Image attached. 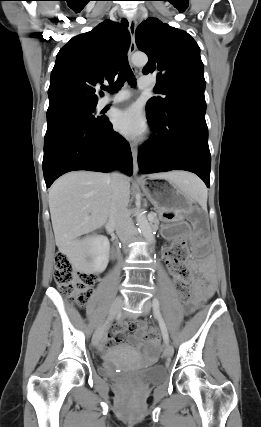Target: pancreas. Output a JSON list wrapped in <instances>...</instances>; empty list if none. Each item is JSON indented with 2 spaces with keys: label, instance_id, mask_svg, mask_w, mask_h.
<instances>
[{
  "label": "pancreas",
  "instance_id": "1",
  "mask_svg": "<svg viewBox=\"0 0 261 427\" xmlns=\"http://www.w3.org/2000/svg\"><path fill=\"white\" fill-rule=\"evenodd\" d=\"M151 220L154 224H158L159 223V219L156 213H152V217Z\"/></svg>",
  "mask_w": 261,
  "mask_h": 427
}]
</instances>
